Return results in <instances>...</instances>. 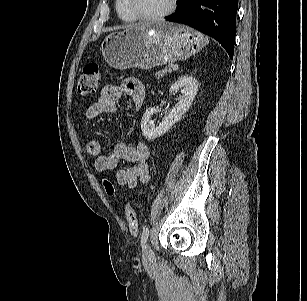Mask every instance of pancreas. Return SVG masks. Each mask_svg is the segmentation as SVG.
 Wrapping results in <instances>:
<instances>
[{
    "label": "pancreas",
    "instance_id": "obj_1",
    "mask_svg": "<svg viewBox=\"0 0 307 301\" xmlns=\"http://www.w3.org/2000/svg\"><path fill=\"white\" fill-rule=\"evenodd\" d=\"M170 72H171L170 69L164 68L161 71L155 72L154 76H155L156 79H160V78L164 77L167 73H170Z\"/></svg>",
    "mask_w": 307,
    "mask_h": 301
}]
</instances>
